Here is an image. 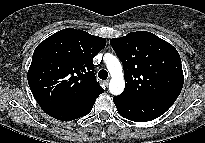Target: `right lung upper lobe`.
<instances>
[{"label": "right lung upper lobe", "instance_id": "1", "mask_svg": "<svg viewBox=\"0 0 205 143\" xmlns=\"http://www.w3.org/2000/svg\"><path fill=\"white\" fill-rule=\"evenodd\" d=\"M106 39L67 28L41 42L28 70V84L42 109H75L104 92L93 58Z\"/></svg>", "mask_w": 205, "mask_h": 143}]
</instances>
